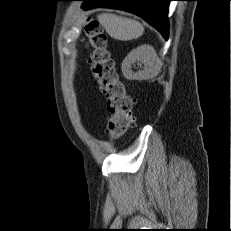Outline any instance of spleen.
<instances>
[{"label": "spleen", "instance_id": "1", "mask_svg": "<svg viewBox=\"0 0 231 231\" xmlns=\"http://www.w3.org/2000/svg\"><path fill=\"white\" fill-rule=\"evenodd\" d=\"M98 19L106 32L116 40L128 41L137 39L144 32V27L141 23L133 19L108 13L98 15Z\"/></svg>", "mask_w": 231, "mask_h": 231}]
</instances>
